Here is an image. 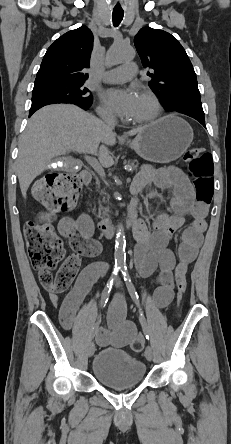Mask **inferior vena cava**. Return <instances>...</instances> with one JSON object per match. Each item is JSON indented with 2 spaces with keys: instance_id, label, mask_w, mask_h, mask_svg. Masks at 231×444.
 <instances>
[{
  "instance_id": "obj_1",
  "label": "inferior vena cava",
  "mask_w": 231,
  "mask_h": 444,
  "mask_svg": "<svg viewBox=\"0 0 231 444\" xmlns=\"http://www.w3.org/2000/svg\"><path fill=\"white\" fill-rule=\"evenodd\" d=\"M100 117L108 129L113 130L115 128V119L112 116L103 113Z\"/></svg>"
}]
</instances>
